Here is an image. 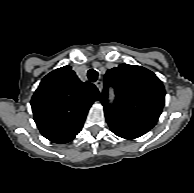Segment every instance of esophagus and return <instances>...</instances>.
<instances>
[{
    "label": "esophagus",
    "mask_w": 194,
    "mask_h": 193,
    "mask_svg": "<svg viewBox=\"0 0 194 193\" xmlns=\"http://www.w3.org/2000/svg\"><path fill=\"white\" fill-rule=\"evenodd\" d=\"M96 87L98 88L99 92H102L103 82L98 80L96 81Z\"/></svg>",
    "instance_id": "34e87169"
}]
</instances>
